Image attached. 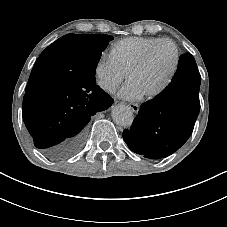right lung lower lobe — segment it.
<instances>
[{
	"mask_svg": "<svg viewBox=\"0 0 227 227\" xmlns=\"http://www.w3.org/2000/svg\"><path fill=\"white\" fill-rule=\"evenodd\" d=\"M112 103L95 82L69 85L52 79L26 92L23 120L35 147L48 159L61 160L81 149L91 117Z\"/></svg>",
	"mask_w": 227,
	"mask_h": 227,
	"instance_id": "right-lung-lower-lobe-1",
	"label": "right lung lower lobe"
}]
</instances>
